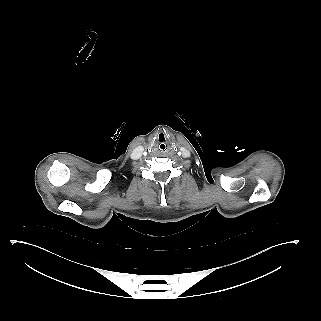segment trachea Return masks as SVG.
I'll use <instances>...</instances> for the list:
<instances>
[{
	"mask_svg": "<svg viewBox=\"0 0 321 321\" xmlns=\"http://www.w3.org/2000/svg\"><path fill=\"white\" fill-rule=\"evenodd\" d=\"M157 150H158L159 153L164 154V153L167 152L168 147H167L166 144L161 143V144L158 145Z\"/></svg>",
	"mask_w": 321,
	"mask_h": 321,
	"instance_id": "obj_1",
	"label": "trachea"
}]
</instances>
